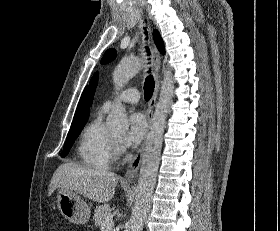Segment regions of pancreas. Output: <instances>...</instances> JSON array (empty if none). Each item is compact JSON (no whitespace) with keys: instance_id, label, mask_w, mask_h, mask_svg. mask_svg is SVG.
Segmentation results:
<instances>
[{"instance_id":"obj_1","label":"pancreas","mask_w":280,"mask_h":231,"mask_svg":"<svg viewBox=\"0 0 280 231\" xmlns=\"http://www.w3.org/2000/svg\"><path fill=\"white\" fill-rule=\"evenodd\" d=\"M94 221L97 227H100L101 223H104L106 219H110L111 215H114L109 203H104V205H98L94 209Z\"/></svg>"}]
</instances>
